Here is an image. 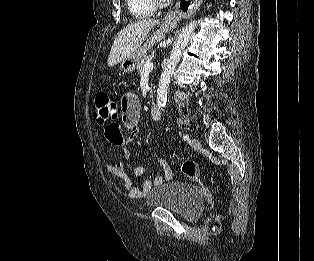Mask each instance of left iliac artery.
Segmentation results:
<instances>
[{
	"label": "left iliac artery",
	"instance_id": "44dca946",
	"mask_svg": "<svg viewBox=\"0 0 314 261\" xmlns=\"http://www.w3.org/2000/svg\"><path fill=\"white\" fill-rule=\"evenodd\" d=\"M183 139H184L185 141H189V136H188L187 134H185V135H183Z\"/></svg>",
	"mask_w": 314,
	"mask_h": 261
}]
</instances>
